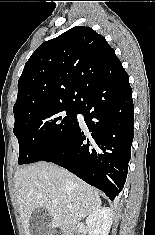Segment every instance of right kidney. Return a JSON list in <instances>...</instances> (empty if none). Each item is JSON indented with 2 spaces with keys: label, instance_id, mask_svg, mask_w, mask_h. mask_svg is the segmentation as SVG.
<instances>
[{
  "label": "right kidney",
  "instance_id": "ca27d5eb",
  "mask_svg": "<svg viewBox=\"0 0 155 235\" xmlns=\"http://www.w3.org/2000/svg\"><path fill=\"white\" fill-rule=\"evenodd\" d=\"M113 212L110 208H100L86 219L89 235H108L112 225Z\"/></svg>",
  "mask_w": 155,
  "mask_h": 235
}]
</instances>
